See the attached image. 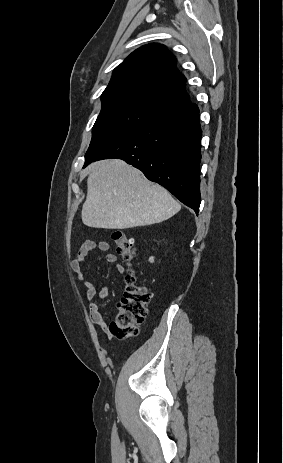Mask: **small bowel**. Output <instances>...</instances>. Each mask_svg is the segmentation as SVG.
Listing matches in <instances>:
<instances>
[{
  "label": "small bowel",
  "instance_id": "c3829d8e",
  "mask_svg": "<svg viewBox=\"0 0 283 463\" xmlns=\"http://www.w3.org/2000/svg\"><path fill=\"white\" fill-rule=\"evenodd\" d=\"M95 249H98L103 252H108L110 250V244L107 241H93V240H88L85 241L79 248L76 257L72 260L71 262V267L74 270V272L77 273L78 278L84 283L86 287V298L89 302V315L91 322L94 325H99L103 332L106 334V336L111 339L112 334L110 333L108 324L100 312L99 309V304L95 300L96 296L100 300H104L109 293V289L107 285H103L101 289L97 292L96 286L94 285L93 282L87 280L83 273H82V267L87 259L89 253ZM106 261L109 264L115 265V270L117 273L122 274L124 272V267L117 262V256L114 253L108 252L106 255Z\"/></svg>",
  "mask_w": 283,
  "mask_h": 463
}]
</instances>
